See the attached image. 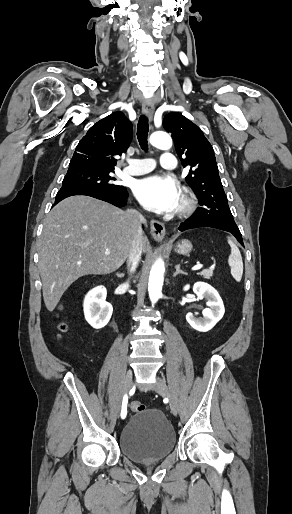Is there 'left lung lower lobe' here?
<instances>
[{
	"label": "left lung lower lobe",
	"instance_id": "left-lung-lower-lobe-1",
	"mask_svg": "<svg viewBox=\"0 0 292 514\" xmlns=\"http://www.w3.org/2000/svg\"><path fill=\"white\" fill-rule=\"evenodd\" d=\"M198 227H212L220 230L228 231L232 233L238 242L244 246L242 235L237 227L236 223H229L219 219H199L193 214L186 221L182 222L177 230L185 231L188 229L198 228Z\"/></svg>",
	"mask_w": 292,
	"mask_h": 514
}]
</instances>
